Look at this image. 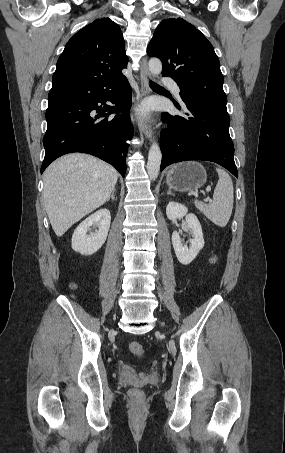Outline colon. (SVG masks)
Here are the masks:
<instances>
[{"instance_id": "5ec220e1", "label": "colon", "mask_w": 285, "mask_h": 453, "mask_svg": "<svg viewBox=\"0 0 285 453\" xmlns=\"http://www.w3.org/2000/svg\"><path fill=\"white\" fill-rule=\"evenodd\" d=\"M129 350H130L131 354L136 358L143 357L144 352H145L143 345L141 343L135 342V341L131 342L129 344ZM131 394L134 398H138L140 396V392L137 390H133L131 392Z\"/></svg>"}]
</instances>
